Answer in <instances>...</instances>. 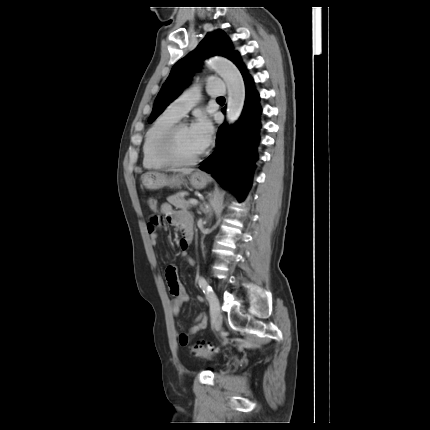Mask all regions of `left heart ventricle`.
Here are the masks:
<instances>
[{"label":"left heart ventricle","instance_id":"left-heart-ventricle-1","mask_svg":"<svg viewBox=\"0 0 430 430\" xmlns=\"http://www.w3.org/2000/svg\"><path fill=\"white\" fill-rule=\"evenodd\" d=\"M176 150L182 158H192L202 152L196 144L189 127H184L178 132Z\"/></svg>","mask_w":430,"mask_h":430}]
</instances>
